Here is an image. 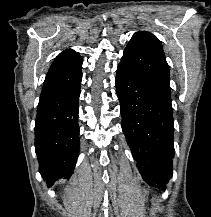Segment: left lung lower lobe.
<instances>
[{"instance_id":"obj_1","label":"left lung lower lobe","mask_w":211,"mask_h":217,"mask_svg":"<svg viewBox=\"0 0 211 217\" xmlns=\"http://www.w3.org/2000/svg\"><path fill=\"white\" fill-rule=\"evenodd\" d=\"M116 92L122 129L140 174L150 186L165 189L175 153L171 99L120 64Z\"/></svg>"}]
</instances>
